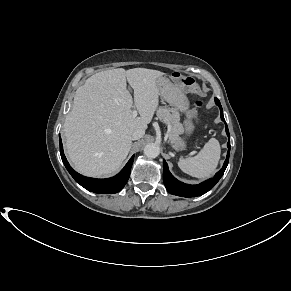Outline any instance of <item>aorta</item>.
<instances>
[{
  "mask_svg": "<svg viewBox=\"0 0 291 291\" xmlns=\"http://www.w3.org/2000/svg\"><path fill=\"white\" fill-rule=\"evenodd\" d=\"M160 153V147L156 143L147 144L144 147V154L148 158H156Z\"/></svg>",
  "mask_w": 291,
  "mask_h": 291,
  "instance_id": "obj_1",
  "label": "aorta"
}]
</instances>
